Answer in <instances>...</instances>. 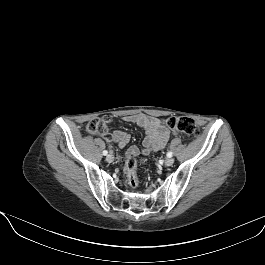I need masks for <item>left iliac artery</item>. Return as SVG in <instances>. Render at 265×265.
Returning a JSON list of instances; mask_svg holds the SVG:
<instances>
[{
  "mask_svg": "<svg viewBox=\"0 0 265 265\" xmlns=\"http://www.w3.org/2000/svg\"><path fill=\"white\" fill-rule=\"evenodd\" d=\"M172 152L171 151H169L168 153H167V157H171L172 156Z\"/></svg>",
  "mask_w": 265,
  "mask_h": 265,
  "instance_id": "1",
  "label": "left iliac artery"
}]
</instances>
